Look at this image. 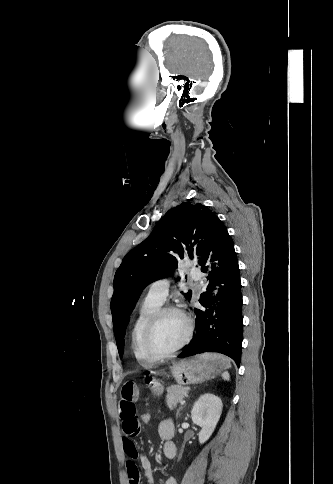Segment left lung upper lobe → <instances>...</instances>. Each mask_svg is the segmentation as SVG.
I'll list each match as a JSON object with an SVG mask.
<instances>
[{
    "instance_id": "left-lung-upper-lobe-1",
    "label": "left lung upper lobe",
    "mask_w": 333,
    "mask_h": 484,
    "mask_svg": "<svg viewBox=\"0 0 333 484\" xmlns=\"http://www.w3.org/2000/svg\"><path fill=\"white\" fill-rule=\"evenodd\" d=\"M215 217L202 204L184 202L169 210L153 233L124 257L115 273L111 299L113 327L120 356L123 355L129 315L142 289L173 273L178 266L177 257L188 255L191 259H197ZM191 294L189 291L185 297L190 299Z\"/></svg>"
}]
</instances>
